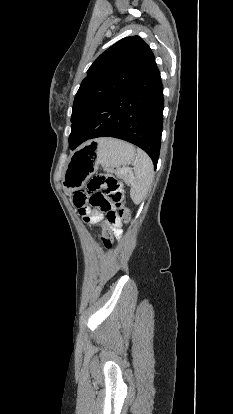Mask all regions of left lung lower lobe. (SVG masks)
Returning <instances> with one entry per match:
<instances>
[{"label":"left lung lower lobe","mask_w":233,"mask_h":414,"mask_svg":"<svg viewBox=\"0 0 233 414\" xmlns=\"http://www.w3.org/2000/svg\"><path fill=\"white\" fill-rule=\"evenodd\" d=\"M163 85L157 65L120 93L102 101L72 125V150L98 137H114L143 149L156 168L163 129Z\"/></svg>","instance_id":"1"}]
</instances>
